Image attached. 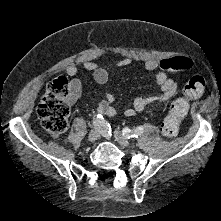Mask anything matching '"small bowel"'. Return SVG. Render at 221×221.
Here are the masks:
<instances>
[{
	"instance_id": "obj_1",
	"label": "small bowel",
	"mask_w": 221,
	"mask_h": 221,
	"mask_svg": "<svg viewBox=\"0 0 221 221\" xmlns=\"http://www.w3.org/2000/svg\"><path fill=\"white\" fill-rule=\"evenodd\" d=\"M131 62V58L125 57L119 60L115 64V67H126L130 65ZM159 63L160 62L155 59H149L144 63V69L146 71L158 70L155 81L160 90L159 93L154 95L136 97L133 101L132 106L124 110V114L126 116H134L135 114L142 112L149 106L167 102L175 96L178 84L165 71L160 69ZM82 66L85 70L93 73L94 79L97 83L105 84L108 81L110 68L104 67L94 62H84ZM65 71L68 76L73 77L70 84L73 91L72 100H75L79 96L82 87L80 80L75 78L78 73V69L73 65H69L66 67ZM114 101V96L110 93H106L103 96L102 100L99 102L96 108V112L98 114L109 117L115 116L117 114V108L114 106Z\"/></svg>"
}]
</instances>
